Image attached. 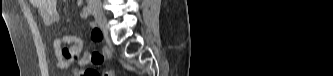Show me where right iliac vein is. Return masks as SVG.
I'll return each instance as SVG.
<instances>
[{"instance_id": "right-iliac-vein-1", "label": "right iliac vein", "mask_w": 333, "mask_h": 76, "mask_svg": "<svg viewBox=\"0 0 333 76\" xmlns=\"http://www.w3.org/2000/svg\"><path fill=\"white\" fill-rule=\"evenodd\" d=\"M93 12L95 20L99 26L106 32L107 31V18L102 10V8L97 4H92L89 6Z\"/></svg>"}]
</instances>
